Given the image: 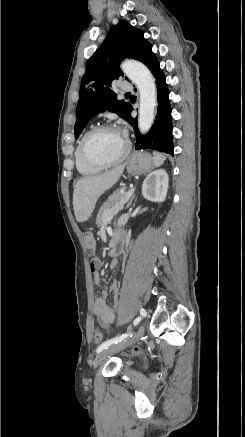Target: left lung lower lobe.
<instances>
[{
	"instance_id": "0a47b994",
	"label": "left lung lower lobe",
	"mask_w": 245,
	"mask_h": 437,
	"mask_svg": "<svg viewBox=\"0 0 245 437\" xmlns=\"http://www.w3.org/2000/svg\"><path fill=\"white\" fill-rule=\"evenodd\" d=\"M152 72L156 78L158 109L154 124L146 135H141L137 128V119L131 116L132 106L129 108L126 120L134 125L136 135V150L154 149L173 155L174 146L172 139V117L169 102V90L165 82V76L160 69L156 55L150 49L140 60Z\"/></svg>"
}]
</instances>
